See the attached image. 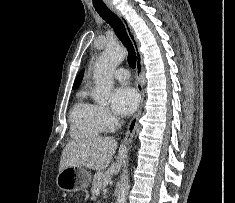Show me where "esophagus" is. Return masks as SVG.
<instances>
[{
	"mask_svg": "<svg viewBox=\"0 0 235 203\" xmlns=\"http://www.w3.org/2000/svg\"><path fill=\"white\" fill-rule=\"evenodd\" d=\"M108 8L115 14L117 15L121 21L123 22L127 34L135 48L136 51V77H137V89L139 91L140 94V103H139V107L136 111V113L134 114L133 118L131 119L130 123L128 124L127 127V131L124 137V143L129 144L131 143L137 125H138V119L141 115L142 112V108H143V104H144V89H143V57L142 54L140 52V46H139V42L135 36V33L131 27V25L129 24V22L127 21V19L121 14V12L111 3H108Z\"/></svg>",
	"mask_w": 235,
	"mask_h": 203,
	"instance_id": "1",
	"label": "esophagus"
}]
</instances>
